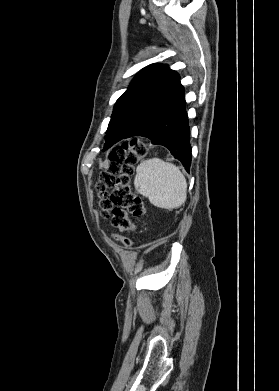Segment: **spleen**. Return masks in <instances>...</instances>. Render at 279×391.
<instances>
[{"label": "spleen", "instance_id": "1", "mask_svg": "<svg viewBox=\"0 0 279 391\" xmlns=\"http://www.w3.org/2000/svg\"><path fill=\"white\" fill-rule=\"evenodd\" d=\"M134 186L159 208H178L187 198V182L180 169L159 158H151L138 165Z\"/></svg>", "mask_w": 279, "mask_h": 391}]
</instances>
